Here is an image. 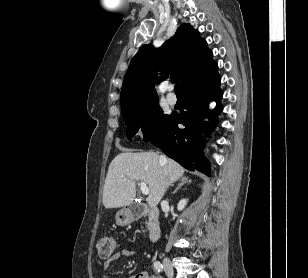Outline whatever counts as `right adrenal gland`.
Listing matches in <instances>:
<instances>
[{"label": "right adrenal gland", "instance_id": "obj_1", "mask_svg": "<svg viewBox=\"0 0 308 278\" xmlns=\"http://www.w3.org/2000/svg\"><path fill=\"white\" fill-rule=\"evenodd\" d=\"M191 183V180L186 177V176H182L180 178V183L178 184V186L176 187V189L172 192L173 194L176 193L179 189H181V187L184 185V184H190Z\"/></svg>", "mask_w": 308, "mask_h": 278}]
</instances>
